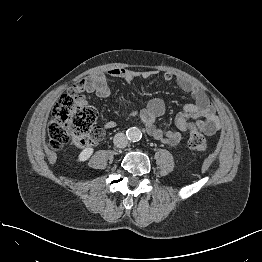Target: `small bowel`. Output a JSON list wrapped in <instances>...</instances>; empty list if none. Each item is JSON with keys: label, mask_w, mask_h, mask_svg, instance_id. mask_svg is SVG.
<instances>
[{"label": "small bowel", "mask_w": 262, "mask_h": 262, "mask_svg": "<svg viewBox=\"0 0 262 262\" xmlns=\"http://www.w3.org/2000/svg\"><path fill=\"white\" fill-rule=\"evenodd\" d=\"M153 74L154 72L149 70L138 72L122 67H113L102 74L87 77L72 89L75 92H95L100 97H107L110 94L109 81L111 79H121L129 83L139 78L148 79ZM164 80L171 82L174 80V75L170 72L165 73ZM177 83L182 91L190 95L193 102L185 105L183 111L175 118L176 129L164 132L155 125L157 118L165 111L164 102L161 99L150 100L138 113L140 122L146 128L147 133L164 144L175 146L181 141L182 132L189 128L190 120L196 130L206 135L218 132L221 129V119L203 90L185 77H180ZM116 126L117 122L110 120L105 123L104 128L112 129Z\"/></svg>", "instance_id": "1"}]
</instances>
